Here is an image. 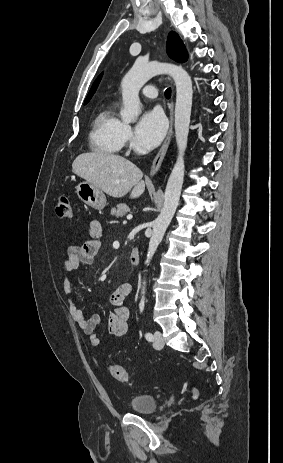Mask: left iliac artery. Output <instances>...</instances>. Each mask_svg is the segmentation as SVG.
I'll return each mask as SVG.
<instances>
[{"instance_id": "44dca946", "label": "left iliac artery", "mask_w": 283, "mask_h": 463, "mask_svg": "<svg viewBox=\"0 0 283 463\" xmlns=\"http://www.w3.org/2000/svg\"><path fill=\"white\" fill-rule=\"evenodd\" d=\"M144 303L145 301L144 300H141L140 304H139V308H140V312H143L144 310ZM145 338L148 340V341H152L153 340V335L151 333H146L145 334Z\"/></svg>"}]
</instances>
